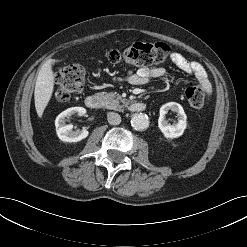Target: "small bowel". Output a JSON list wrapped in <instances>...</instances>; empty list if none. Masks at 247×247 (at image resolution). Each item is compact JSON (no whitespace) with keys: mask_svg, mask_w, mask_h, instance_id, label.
I'll list each match as a JSON object with an SVG mask.
<instances>
[{"mask_svg":"<svg viewBox=\"0 0 247 247\" xmlns=\"http://www.w3.org/2000/svg\"><path fill=\"white\" fill-rule=\"evenodd\" d=\"M171 61L184 73L194 77L195 81L203 89L207 97L212 94V85L208 78L205 68L196 61L188 60L184 55L173 52L170 56ZM165 75V69L162 67L141 68L136 72H130L127 79L131 84L142 85L152 79H159Z\"/></svg>","mask_w":247,"mask_h":247,"instance_id":"1","label":"small bowel"}]
</instances>
